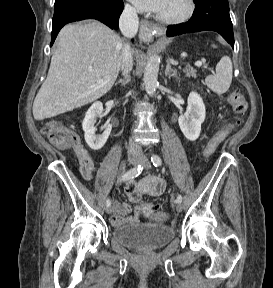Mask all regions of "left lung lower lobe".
<instances>
[{
	"mask_svg": "<svg viewBox=\"0 0 273 288\" xmlns=\"http://www.w3.org/2000/svg\"><path fill=\"white\" fill-rule=\"evenodd\" d=\"M194 3L196 6L191 19L186 23L168 26L167 36L204 30L216 31L234 48L228 0H194Z\"/></svg>",
	"mask_w": 273,
	"mask_h": 288,
	"instance_id": "obj_1",
	"label": "left lung lower lobe"
}]
</instances>
